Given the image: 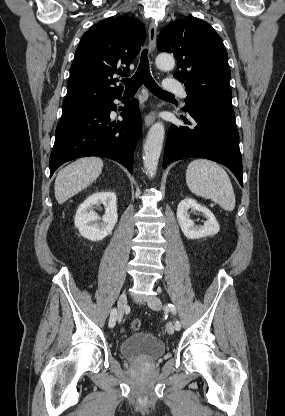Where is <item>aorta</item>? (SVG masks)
Here are the masks:
<instances>
[{
	"mask_svg": "<svg viewBox=\"0 0 285 416\" xmlns=\"http://www.w3.org/2000/svg\"><path fill=\"white\" fill-rule=\"evenodd\" d=\"M156 65L164 71L172 70L175 66L173 56L159 54L156 58ZM165 128L162 122L155 123L149 130L143 146V163L146 174L153 178L156 175L160 154L163 147Z\"/></svg>",
	"mask_w": 285,
	"mask_h": 416,
	"instance_id": "762f6f07",
	"label": "aorta"
}]
</instances>
